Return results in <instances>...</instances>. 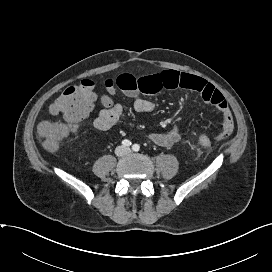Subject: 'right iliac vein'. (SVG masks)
<instances>
[{"mask_svg":"<svg viewBox=\"0 0 272 272\" xmlns=\"http://www.w3.org/2000/svg\"><path fill=\"white\" fill-rule=\"evenodd\" d=\"M116 152L118 155H122L125 152V150L123 147H119Z\"/></svg>","mask_w":272,"mask_h":272,"instance_id":"right-iliac-vein-1","label":"right iliac vein"}]
</instances>
